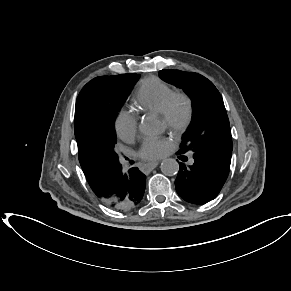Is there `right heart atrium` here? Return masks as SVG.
<instances>
[{
    "label": "right heart atrium",
    "instance_id": "1",
    "mask_svg": "<svg viewBox=\"0 0 291 291\" xmlns=\"http://www.w3.org/2000/svg\"><path fill=\"white\" fill-rule=\"evenodd\" d=\"M114 125L118 137L124 141H131L137 134V118L128 110H121L117 114Z\"/></svg>",
    "mask_w": 291,
    "mask_h": 291
}]
</instances>
